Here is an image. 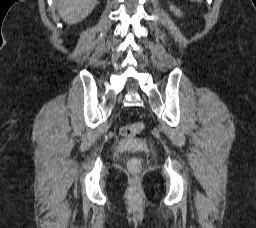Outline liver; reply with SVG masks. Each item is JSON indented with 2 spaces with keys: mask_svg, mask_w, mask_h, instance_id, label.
<instances>
[{
  "mask_svg": "<svg viewBox=\"0 0 256 228\" xmlns=\"http://www.w3.org/2000/svg\"><path fill=\"white\" fill-rule=\"evenodd\" d=\"M60 16L68 24H77L95 8L97 0H56Z\"/></svg>",
  "mask_w": 256,
  "mask_h": 228,
  "instance_id": "1",
  "label": "liver"
}]
</instances>
